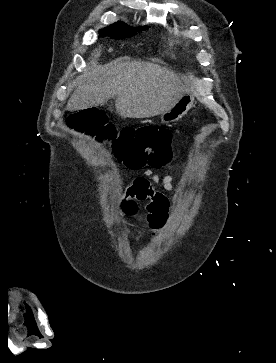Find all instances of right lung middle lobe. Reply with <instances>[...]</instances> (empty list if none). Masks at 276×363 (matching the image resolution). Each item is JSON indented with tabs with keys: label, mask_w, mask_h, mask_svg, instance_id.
Wrapping results in <instances>:
<instances>
[{
	"label": "right lung middle lobe",
	"mask_w": 276,
	"mask_h": 363,
	"mask_svg": "<svg viewBox=\"0 0 276 363\" xmlns=\"http://www.w3.org/2000/svg\"><path fill=\"white\" fill-rule=\"evenodd\" d=\"M148 27L144 26L142 28H130V26L124 24L123 22H117L113 24L112 26L107 27L106 29H103L100 32L101 36H110L115 39H124L125 37L133 36L136 32H139L141 30H147Z\"/></svg>",
	"instance_id": "obj_1"
}]
</instances>
